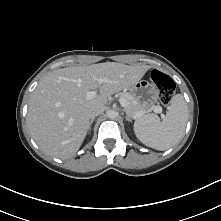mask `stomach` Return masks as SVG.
Returning a JSON list of instances; mask_svg holds the SVG:
<instances>
[{
    "label": "stomach",
    "instance_id": "0dacf381",
    "mask_svg": "<svg viewBox=\"0 0 221 221\" xmlns=\"http://www.w3.org/2000/svg\"><path fill=\"white\" fill-rule=\"evenodd\" d=\"M130 93L136 97L144 108L151 107L157 100L156 87L146 80L138 81L131 86Z\"/></svg>",
    "mask_w": 221,
    "mask_h": 221
}]
</instances>
